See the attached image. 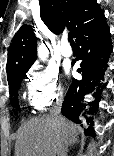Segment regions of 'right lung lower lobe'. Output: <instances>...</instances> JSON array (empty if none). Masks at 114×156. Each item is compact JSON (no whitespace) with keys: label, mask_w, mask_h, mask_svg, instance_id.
I'll list each match as a JSON object with an SVG mask.
<instances>
[{"label":"right lung lower lobe","mask_w":114,"mask_h":156,"mask_svg":"<svg viewBox=\"0 0 114 156\" xmlns=\"http://www.w3.org/2000/svg\"><path fill=\"white\" fill-rule=\"evenodd\" d=\"M76 43L80 48L77 60H82L77 69L82 75L81 80L73 79L62 105V114L75 123H82L85 113L97 111L100 94L105 85L100 83L103 79L104 69L110 53L112 52L111 34L106 23L104 12L100 9L94 17L76 34ZM94 92L95 101L86 104L83 99L87 93ZM89 127L86 135L95 136L92 128V118L86 120Z\"/></svg>","instance_id":"obj_1"}]
</instances>
